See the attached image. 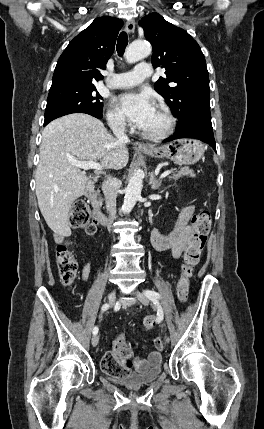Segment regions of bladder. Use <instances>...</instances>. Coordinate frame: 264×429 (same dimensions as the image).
<instances>
[{"label": "bladder", "instance_id": "bladder-1", "mask_svg": "<svg viewBox=\"0 0 264 429\" xmlns=\"http://www.w3.org/2000/svg\"><path fill=\"white\" fill-rule=\"evenodd\" d=\"M162 373L161 364L147 368L141 372H131L122 376L108 374V379L112 382L127 388H137L156 381Z\"/></svg>", "mask_w": 264, "mask_h": 429}]
</instances>
